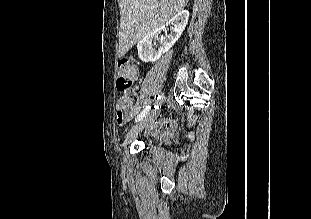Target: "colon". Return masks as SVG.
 Listing matches in <instances>:
<instances>
[{
  "label": "colon",
  "instance_id": "colon-1",
  "mask_svg": "<svg viewBox=\"0 0 311 219\" xmlns=\"http://www.w3.org/2000/svg\"><path fill=\"white\" fill-rule=\"evenodd\" d=\"M117 87L123 93L120 103L122 106V114L127 115L129 107L136 100V93L133 90V83L140 74L138 62L133 58H122L117 63Z\"/></svg>",
  "mask_w": 311,
  "mask_h": 219
}]
</instances>
